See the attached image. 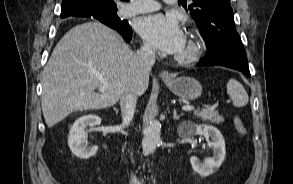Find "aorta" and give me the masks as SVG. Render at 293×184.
I'll list each match as a JSON object with an SVG mask.
<instances>
[{"mask_svg":"<svg viewBox=\"0 0 293 184\" xmlns=\"http://www.w3.org/2000/svg\"><path fill=\"white\" fill-rule=\"evenodd\" d=\"M161 124L157 120H152L146 127L142 140V149L145 155L151 154L158 147L161 139Z\"/></svg>","mask_w":293,"mask_h":184,"instance_id":"1","label":"aorta"}]
</instances>
